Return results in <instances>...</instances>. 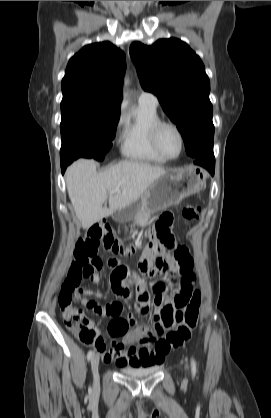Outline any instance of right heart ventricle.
Masks as SVG:
<instances>
[{
    "instance_id": "obj_1",
    "label": "right heart ventricle",
    "mask_w": 271,
    "mask_h": 418,
    "mask_svg": "<svg viewBox=\"0 0 271 418\" xmlns=\"http://www.w3.org/2000/svg\"><path fill=\"white\" fill-rule=\"evenodd\" d=\"M158 121H160V117L157 108L139 102L124 119L121 138L122 154L136 161L165 163L167 160L155 151L151 142V130Z\"/></svg>"
}]
</instances>
